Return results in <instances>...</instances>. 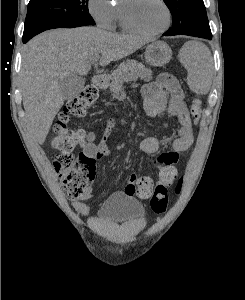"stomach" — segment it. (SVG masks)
<instances>
[{
  "instance_id": "obj_1",
  "label": "stomach",
  "mask_w": 245,
  "mask_h": 300,
  "mask_svg": "<svg viewBox=\"0 0 245 300\" xmlns=\"http://www.w3.org/2000/svg\"><path fill=\"white\" fill-rule=\"evenodd\" d=\"M172 57L171 48L163 41H154L145 51L146 62L155 67L166 65Z\"/></svg>"
}]
</instances>
